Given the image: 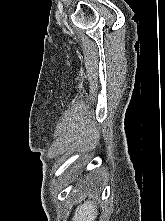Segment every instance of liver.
<instances>
[{"label":"liver","instance_id":"6515ba94","mask_svg":"<svg viewBox=\"0 0 165 221\" xmlns=\"http://www.w3.org/2000/svg\"><path fill=\"white\" fill-rule=\"evenodd\" d=\"M96 208L93 202H84L77 207L72 221H95L98 215Z\"/></svg>","mask_w":165,"mask_h":221}]
</instances>
